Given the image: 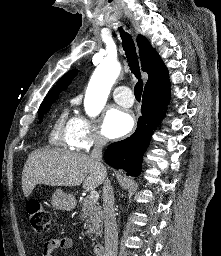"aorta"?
Here are the masks:
<instances>
[{
  "label": "aorta",
  "instance_id": "1",
  "mask_svg": "<svg viewBox=\"0 0 221 256\" xmlns=\"http://www.w3.org/2000/svg\"><path fill=\"white\" fill-rule=\"evenodd\" d=\"M120 70L119 62L112 60L102 61L95 69L84 99L85 111L89 116H96L102 111Z\"/></svg>",
  "mask_w": 221,
  "mask_h": 256
}]
</instances>
